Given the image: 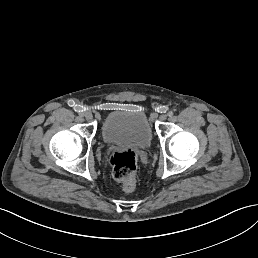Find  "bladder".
<instances>
[{
	"label": "bladder",
	"mask_w": 258,
	"mask_h": 258,
	"mask_svg": "<svg viewBox=\"0 0 258 258\" xmlns=\"http://www.w3.org/2000/svg\"><path fill=\"white\" fill-rule=\"evenodd\" d=\"M105 143L127 149L147 148L152 140V130L146 114L134 107L112 110L102 124Z\"/></svg>",
	"instance_id": "31cf9c89"
}]
</instances>
